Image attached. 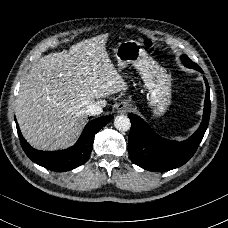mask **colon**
Masks as SVG:
<instances>
[{"label":"colon","instance_id":"1","mask_svg":"<svg viewBox=\"0 0 228 228\" xmlns=\"http://www.w3.org/2000/svg\"><path fill=\"white\" fill-rule=\"evenodd\" d=\"M147 45H150L151 44V41L150 40H145L144 41Z\"/></svg>","mask_w":228,"mask_h":228}]
</instances>
